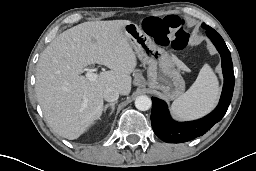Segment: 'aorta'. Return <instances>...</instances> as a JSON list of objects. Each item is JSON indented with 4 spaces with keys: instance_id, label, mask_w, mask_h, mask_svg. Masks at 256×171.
<instances>
[{
    "instance_id": "aorta-1",
    "label": "aorta",
    "mask_w": 256,
    "mask_h": 171,
    "mask_svg": "<svg viewBox=\"0 0 256 171\" xmlns=\"http://www.w3.org/2000/svg\"><path fill=\"white\" fill-rule=\"evenodd\" d=\"M152 105L151 99L146 95L138 96L135 100V107L140 111H147Z\"/></svg>"
}]
</instances>
